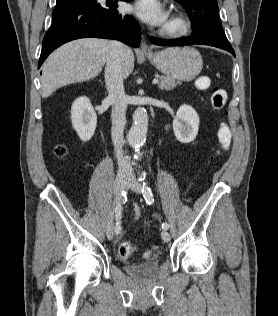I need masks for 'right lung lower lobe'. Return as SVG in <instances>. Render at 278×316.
<instances>
[{"label": "right lung lower lobe", "instance_id": "98d812e1", "mask_svg": "<svg viewBox=\"0 0 278 316\" xmlns=\"http://www.w3.org/2000/svg\"><path fill=\"white\" fill-rule=\"evenodd\" d=\"M52 17V26L43 40L38 68L54 49L79 38L116 39L131 47L140 44L141 31L137 22L131 16L119 14L116 2L100 4L97 0H73L56 5Z\"/></svg>", "mask_w": 278, "mask_h": 316}]
</instances>
